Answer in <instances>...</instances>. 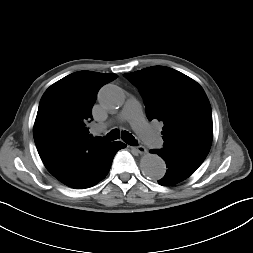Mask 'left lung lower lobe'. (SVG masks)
Returning <instances> with one entry per match:
<instances>
[{
	"mask_svg": "<svg viewBox=\"0 0 253 253\" xmlns=\"http://www.w3.org/2000/svg\"><path fill=\"white\" fill-rule=\"evenodd\" d=\"M151 152L158 154L166 162L168 168L166 174L158 181L160 185L164 186L173 185L188 178L204 161L168 150H151Z\"/></svg>",
	"mask_w": 253,
	"mask_h": 253,
	"instance_id": "0a47b994",
	"label": "left lung lower lobe"
}]
</instances>
